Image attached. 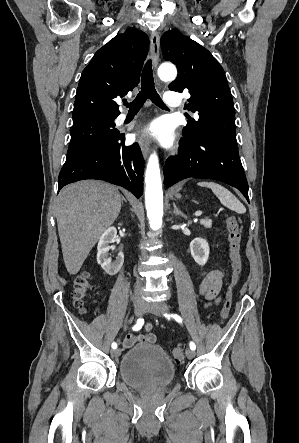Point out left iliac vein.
<instances>
[{"label":"left iliac vein","instance_id":"obj_1","mask_svg":"<svg viewBox=\"0 0 299 443\" xmlns=\"http://www.w3.org/2000/svg\"><path fill=\"white\" fill-rule=\"evenodd\" d=\"M145 311L157 316H162L164 312L168 311V306L163 302L149 303L146 305ZM186 356L188 359H192L195 356L194 350L188 348L186 350Z\"/></svg>","mask_w":299,"mask_h":443}]
</instances>
